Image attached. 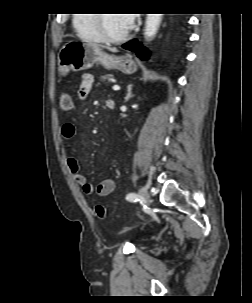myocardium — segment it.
I'll return each instance as SVG.
<instances>
[{"instance_id":"myocardium-1","label":"myocardium","mask_w":252,"mask_h":303,"mask_svg":"<svg viewBox=\"0 0 252 303\" xmlns=\"http://www.w3.org/2000/svg\"><path fill=\"white\" fill-rule=\"evenodd\" d=\"M97 15V23L100 29V33L102 35V38L104 41L106 42H110V43H120L125 41L129 35H130V31L127 30L124 34L119 35V36H112L109 33H107V31L104 28V19H105V14H96Z\"/></svg>"}]
</instances>
